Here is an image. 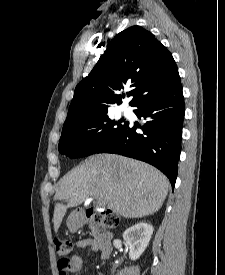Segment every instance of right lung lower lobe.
<instances>
[{"label":"right lung lower lobe","mask_w":225,"mask_h":275,"mask_svg":"<svg viewBox=\"0 0 225 275\" xmlns=\"http://www.w3.org/2000/svg\"><path fill=\"white\" fill-rule=\"evenodd\" d=\"M134 113L146 122L129 123L97 153H115L145 161L161 170L174 187L181 152L185 106L180 80L167 88L145 96L133 105ZM141 128L143 133H137Z\"/></svg>","instance_id":"obj_1"}]
</instances>
